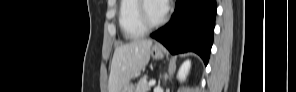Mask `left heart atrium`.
I'll use <instances>...</instances> for the list:
<instances>
[{
  "label": "left heart atrium",
  "mask_w": 296,
  "mask_h": 92,
  "mask_svg": "<svg viewBox=\"0 0 296 92\" xmlns=\"http://www.w3.org/2000/svg\"><path fill=\"white\" fill-rule=\"evenodd\" d=\"M156 3H157V7H158L159 12L161 13V15L164 16L168 10V7H169L168 2L167 1H159Z\"/></svg>",
  "instance_id": "39dd6f15"
}]
</instances>
